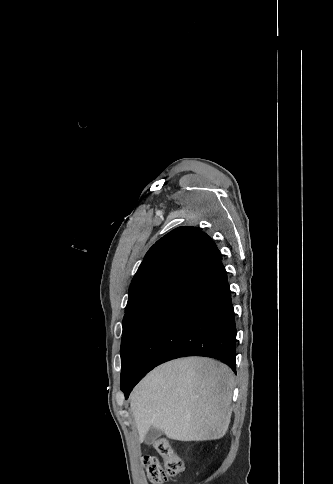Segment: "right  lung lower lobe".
<instances>
[{
  "mask_svg": "<svg viewBox=\"0 0 333 484\" xmlns=\"http://www.w3.org/2000/svg\"><path fill=\"white\" fill-rule=\"evenodd\" d=\"M182 356L219 359L236 373L235 314L221 260L170 293L157 309L121 389L125 398L155 366Z\"/></svg>",
  "mask_w": 333,
  "mask_h": 484,
  "instance_id": "1",
  "label": "right lung lower lobe"
}]
</instances>
